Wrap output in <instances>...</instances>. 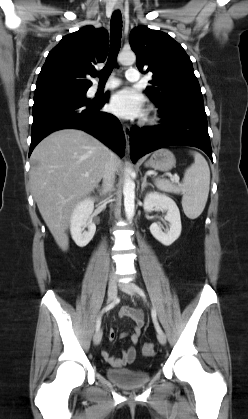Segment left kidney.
Segmentation results:
<instances>
[{"label":"left kidney","mask_w":248,"mask_h":419,"mask_svg":"<svg viewBox=\"0 0 248 419\" xmlns=\"http://www.w3.org/2000/svg\"><path fill=\"white\" fill-rule=\"evenodd\" d=\"M144 209L147 212L153 210H165L167 212L165 219L169 222V229L163 232L161 227L153 223L150 226V232L155 239L165 246L171 245L181 234V219L179 209L169 196L158 192H149L144 199Z\"/></svg>","instance_id":"obj_1"}]
</instances>
